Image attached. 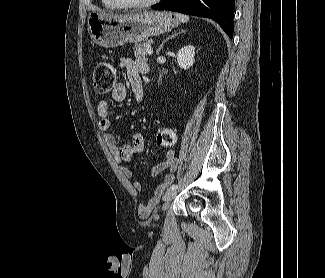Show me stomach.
I'll use <instances>...</instances> for the list:
<instances>
[{"label":"stomach","mask_w":325,"mask_h":278,"mask_svg":"<svg viewBox=\"0 0 325 278\" xmlns=\"http://www.w3.org/2000/svg\"><path fill=\"white\" fill-rule=\"evenodd\" d=\"M177 24L178 19L168 12L144 11L126 16L93 12L88 17V33L93 43L114 48L128 42L139 43Z\"/></svg>","instance_id":"1"}]
</instances>
